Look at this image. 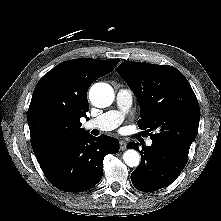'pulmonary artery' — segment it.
<instances>
[{
    "label": "pulmonary artery",
    "instance_id": "e3ab8cb5",
    "mask_svg": "<svg viewBox=\"0 0 221 221\" xmlns=\"http://www.w3.org/2000/svg\"><path fill=\"white\" fill-rule=\"evenodd\" d=\"M117 109L107 111L98 117L88 120L83 127L86 130L97 129L100 131H111L117 128L123 121L125 114L132 104V92L130 89H120L116 95ZM148 146L152 145V140H147Z\"/></svg>",
    "mask_w": 221,
    "mask_h": 221
}]
</instances>
